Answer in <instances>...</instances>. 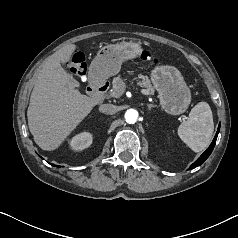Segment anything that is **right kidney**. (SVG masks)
I'll use <instances>...</instances> for the list:
<instances>
[{"mask_svg":"<svg viewBox=\"0 0 238 238\" xmlns=\"http://www.w3.org/2000/svg\"><path fill=\"white\" fill-rule=\"evenodd\" d=\"M93 141V136L89 132H82L75 135L70 141V147L75 151H81L88 148Z\"/></svg>","mask_w":238,"mask_h":238,"instance_id":"1","label":"right kidney"}]
</instances>
